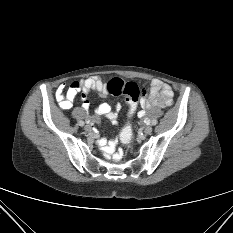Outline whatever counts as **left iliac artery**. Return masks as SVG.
Listing matches in <instances>:
<instances>
[{"label": "left iliac artery", "mask_w": 233, "mask_h": 233, "mask_svg": "<svg viewBox=\"0 0 233 233\" xmlns=\"http://www.w3.org/2000/svg\"><path fill=\"white\" fill-rule=\"evenodd\" d=\"M152 125L155 127L157 125V120H152Z\"/></svg>", "instance_id": "1"}]
</instances>
